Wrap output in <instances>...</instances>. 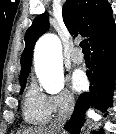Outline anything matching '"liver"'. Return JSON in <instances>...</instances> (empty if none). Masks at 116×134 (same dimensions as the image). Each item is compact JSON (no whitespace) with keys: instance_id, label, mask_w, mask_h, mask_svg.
Wrapping results in <instances>:
<instances>
[{"instance_id":"1","label":"liver","mask_w":116,"mask_h":134,"mask_svg":"<svg viewBox=\"0 0 116 134\" xmlns=\"http://www.w3.org/2000/svg\"><path fill=\"white\" fill-rule=\"evenodd\" d=\"M21 134H56L51 128H42L34 131H24Z\"/></svg>"}]
</instances>
